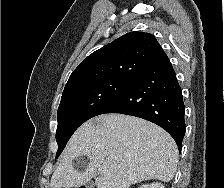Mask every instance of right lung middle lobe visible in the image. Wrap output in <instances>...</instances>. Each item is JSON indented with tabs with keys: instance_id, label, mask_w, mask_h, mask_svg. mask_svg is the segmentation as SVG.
<instances>
[{
	"instance_id": "dd1d6c3e",
	"label": "right lung middle lobe",
	"mask_w": 224,
	"mask_h": 188,
	"mask_svg": "<svg viewBox=\"0 0 224 188\" xmlns=\"http://www.w3.org/2000/svg\"><path fill=\"white\" fill-rule=\"evenodd\" d=\"M132 81L133 79L108 78L64 88L58 108L56 158L75 130L88 119L99 115L128 89Z\"/></svg>"
}]
</instances>
